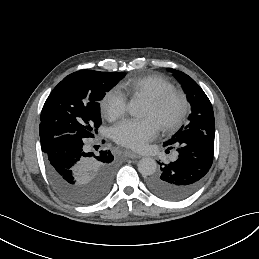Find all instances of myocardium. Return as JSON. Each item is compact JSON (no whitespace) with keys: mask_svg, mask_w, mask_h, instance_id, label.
Listing matches in <instances>:
<instances>
[{"mask_svg":"<svg viewBox=\"0 0 259 259\" xmlns=\"http://www.w3.org/2000/svg\"><path fill=\"white\" fill-rule=\"evenodd\" d=\"M149 102L154 109V116L165 131L175 132L184 123L189 105L184 93L173 90L164 95L150 98ZM172 106L175 107V114L172 118L168 119L164 116V113Z\"/></svg>","mask_w":259,"mask_h":259,"instance_id":"myocardium-1","label":"myocardium"}]
</instances>
